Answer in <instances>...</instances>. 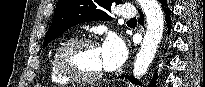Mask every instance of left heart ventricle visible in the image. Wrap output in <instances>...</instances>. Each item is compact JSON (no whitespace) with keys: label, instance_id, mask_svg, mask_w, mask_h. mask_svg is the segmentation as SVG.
I'll return each mask as SVG.
<instances>
[{"label":"left heart ventricle","instance_id":"b2bd125f","mask_svg":"<svg viewBox=\"0 0 205 87\" xmlns=\"http://www.w3.org/2000/svg\"><path fill=\"white\" fill-rule=\"evenodd\" d=\"M65 64L82 75H94L104 68L101 49L90 45L71 49L65 56Z\"/></svg>","mask_w":205,"mask_h":87}]
</instances>
